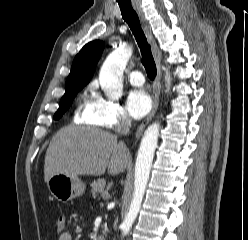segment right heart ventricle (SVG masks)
I'll return each mask as SVG.
<instances>
[{"label": "right heart ventricle", "instance_id": "e07e8e85", "mask_svg": "<svg viewBox=\"0 0 248 240\" xmlns=\"http://www.w3.org/2000/svg\"><path fill=\"white\" fill-rule=\"evenodd\" d=\"M80 121H81V122H86V120H85L84 117H83V112H82V114H81Z\"/></svg>", "mask_w": 248, "mask_h": 240}]
</instances>
